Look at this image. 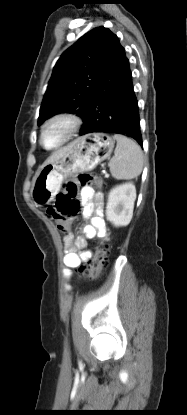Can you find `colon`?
Returning a JSON list of instances; mask_svg holds the SVG:
<instances>
[{
  "mask_svg": "<svg viewBox=\"0 0 187 415\" xmlns=\"http://www.w3.org/2000/svg\"><path fill=\"white\" fill-rule=\"evenodd\" d=\"M102 179L94 174H81L76 181H70L65 184L62 191L57 194L56 205L47 209V213L55 221L58 229L65 237L71 235V220L77 215L80 204L77 199L79 186L100 187ZM108 261L107 247L99 246L93 257L85 267H82L81 273L89 278L98 277L106 268Z\"/></svg>",
  "mask_w": 187,
  "mask_h": 415,
  "instance_id": "obj_1",
  "label": "colon"
}]
</instances>
